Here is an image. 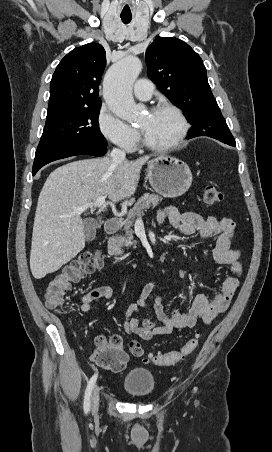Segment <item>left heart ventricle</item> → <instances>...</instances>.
<instances>
[{"label": "left heart ventricle", "mask_w": 272, "mask_h": 452, "mask_svg": "<svg viewBox=\"0 0 272 452\" xmlns=\"http://www.w3.org/2000/svg\"><path fill=\"white\" fill-rule=\"evenodd\" d=\"M138 128L149 142L164 144L174 139L179 123L173 114L163 111L144 116L138 123Z\"/></svg>", "instance_id": "obj_1"}]
</instances>
